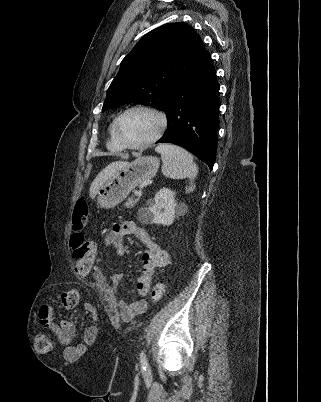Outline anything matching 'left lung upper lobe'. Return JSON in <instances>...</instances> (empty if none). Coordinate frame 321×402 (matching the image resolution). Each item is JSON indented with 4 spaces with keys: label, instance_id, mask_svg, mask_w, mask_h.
I'll list each match as a JSON object with an SVG mask.
<instances>
[{
    "label": "left lung upper lobe",
    "instance_id": "left-lung-upper-lobe-1",
    "mask_svg": "<svg viewBox=\"0 0 321 402\" xmlns=\"http://www.w3.org/2000/svg\"><path fill=\"white\" fill-rule=\"evenodd\" d=\"M205 51L199 35L186 23L150 31L122 60L102 111L134 102L163 110L171 91Z\"/></svg>",
    "mask_w": 321,
    "mask_h": 402
}]
</instances>
